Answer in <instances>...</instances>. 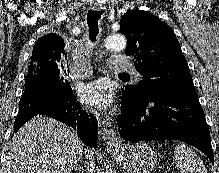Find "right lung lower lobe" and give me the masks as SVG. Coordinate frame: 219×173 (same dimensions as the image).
Instances as JSON below:
<instances>
[{
	"instance_id": "right-lung-lower-lobe-1",
	"label": "right lung lower lobe",
	"mask_w": 219,
	"mask_h": 173,
	"mask_svg": "<svg viewBox=\"0 0 219 173\" xmlns=\"http://www.w3.org/2000/svg\"><path fill=\"white\" fill-rule=\"evenodd\" d=\"M38 114L51 116L72 127L77 130L85 145L96 148L98 132L96 118L81 108L72 91L64 92L52 79L40 78L25 89L19 102L14 132Z\"/></svg>"
}]
</instances>
